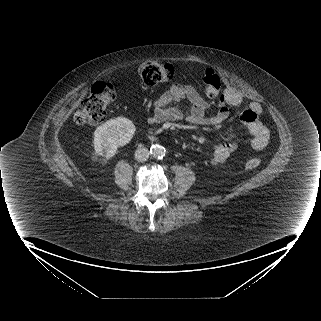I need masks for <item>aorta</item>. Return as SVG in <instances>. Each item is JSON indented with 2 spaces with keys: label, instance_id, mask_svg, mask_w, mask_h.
Wrapping results in <instances>:
<instances>
[{
  "label": "aorta",
  "instance_id": "obj_1",
  "mask_svg": "<svg viewBox=\"0 0 321 321\" xmlns=\"http://www.w3.org/2000/svg\"><path fill=\"white\" fill-rule=\"evenodd\" d=\"M150 153L153 157L161 159L165 156L166 150L163 146L156 144L151 146Z\"/></svg>",
  "mask_w": 321,
  "mask_h": 321
}]
</instances>
